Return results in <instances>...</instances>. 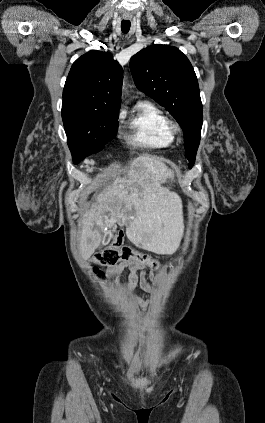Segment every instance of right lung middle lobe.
Wrapping results in <instances>:
<instances>
[{"instance_id":"dd1d6c3e","label":"right lung middle lobe","mask_w":265,"mask_h":423,"mask_svg":"<svg viewBox=\"0 0 265 423\" xmlns=\"http://www.w3.org/2000/svg\"><path fill=\"white\" fill-rule=\"evenodd\" d=\"M62 119L74 163L102 150L117 133L118 112L82 105H62Z\"/></svg>"}]
</instances>
